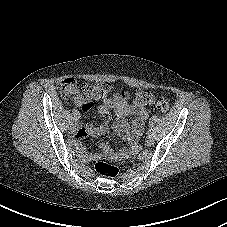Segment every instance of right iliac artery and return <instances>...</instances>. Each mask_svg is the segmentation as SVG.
<instances>
[{
    "label": "right iliac artery",
    "mask_w": 227,
    "mask_h": 227,
    "mask_svg": "<svg viewBox=\"0 0 227 227\" xmlns=\"http://www.w3.org/2000/svg\"><path fill=\"white\" fill-rule=\"evenodd\" d=\"M73 122V125H75V126H78L79 125V118H77V117H75V118H73V120H72Z\"/></svg>",
    "instance_id": "1"
}]
</instances>
